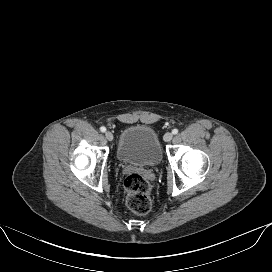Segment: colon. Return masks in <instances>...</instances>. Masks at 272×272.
I'll return each mask as SVG.
<instances>
[{
	"label": "colon",
	"instance_id": "1",
	"mask_svg": "<svg viewBox=\"0 0 272 272\" xmlns=\"http://www.w3.org/2000/svg\"><path fill=\"white\" fill-rule=\"evenodd\" d=\"M128 207L140 215L147 214L152 205L151 186L139 173H131L124 179Z\"/></svg>",
	"mask_w": 272,
	"mask_h": 272
}]
</instances>
